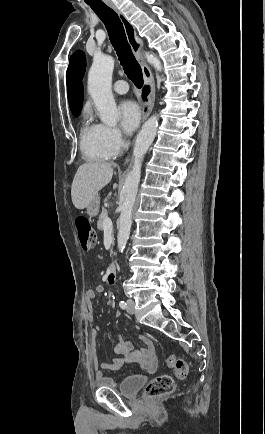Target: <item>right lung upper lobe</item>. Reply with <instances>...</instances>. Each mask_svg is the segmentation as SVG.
<instances>
[{
    "mask_svg": "<svg viewBox=\"0 0 265 434\" xmlns=\"http://www.w3.org/2000/svg\"><path fill=\"white\" fill-rule=\"evenodd\" d=\"M86 68V58L82 51H76L69 60L67 69V95L70 106L82 104L83 83L82 79Z\"/></svg>",
    "mask_w": 265,
    "mask_h": 434,
    "instance_id": "right-lung-upper-lobe-1",
    "label": "right lung upper lobe"
}]
</instances>
